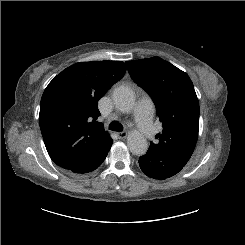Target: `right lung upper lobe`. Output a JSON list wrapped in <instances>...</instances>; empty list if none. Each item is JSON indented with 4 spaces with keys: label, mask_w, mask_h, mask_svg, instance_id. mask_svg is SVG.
<instances>
[{
    "label": "right lung upper lobe",
    "mask_w": 245,
    "mask_h": 245,
    "mask_svg": "<svg viewBox=\"0 0 245 245\" xmlns=\"http://www.w3.org/2000/svg\"><path fill=\"white\" fill-rule=\"evenodd\" d=\"M120 61L80 62L46 87L39 123L50 158L71 170L85 162L110 136L104 131L98 100L125 74Z\"/></svg>",
    "instance_id": "cb5924a9"
}]
</instances>
